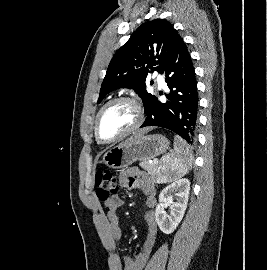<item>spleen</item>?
<instances>
[{"label":"spleen","instance_id":"spleen-1","mask_svg":"<svg viewBox=\"0 0 267 270\" xmlns=\"http://www.w3.org/2000/svg\"><path fill=\"white\" fill-rule=\"evenodd\" d=\"M192 166V154L187 143L175 136L174 150L161 159L159 180L162 183L177 180L186 175Z\"/></svg>","mask_w":267,"mask_h":270}]
</instances>
